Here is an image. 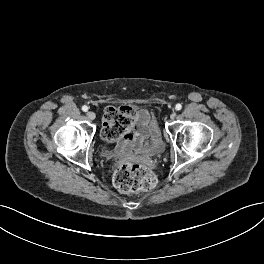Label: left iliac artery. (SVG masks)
<instances>
[{
	"mask_svg": "<svg viewBox=\"0 0 264 264\" xmlns=\"http://www.w3.org/2000/svg\"><path fill=\"white\" fill-rule=\"evenodd\" d=\"M175 109H176L177 111L181 110V109H182V105L179 104V103L176 104Z\"/></svg>",
	"mask_w": 264,
	"mask_h": 264,
	"instance_id": "left-iliac-artery-1",
	"label": "left iliac artery"
}]
</instances>
